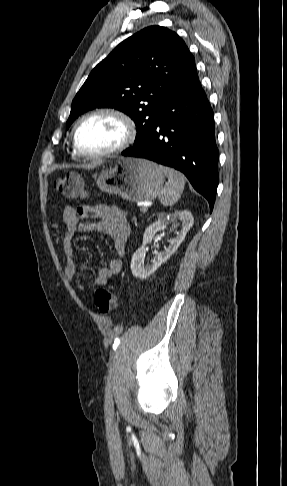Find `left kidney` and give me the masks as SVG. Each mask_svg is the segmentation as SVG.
Instances as JSON below:
<instances>
[{"label": "left kidney", "mask_w": 287, "mask_h": 486, "mask_svg": "<svg viewBox=\"0 0 287 486\" xmlns=\"http://www.w3.org/2000/svg\"><path fill=\"white\" fill-rule=\"evenodd\" d=\"M180 220L182 222V229L177 232V236L170 240L168 247L162 252L154 251L155 257L152 263L146 266L142 265V258L145 255L146 245L151 241L153 236L163 230L169 223ZM194 218L192 214L187 211H179L173 214L159 213L158 220L150 224L143 235V244L133 254L131 261V270L133 276L139 279H146L153 274L164 262H166L172 254L176 252L180 244L185 239L187 232L193 226Z\"/></svg>", "instance_id": "5707ae66"}]
</instances>
